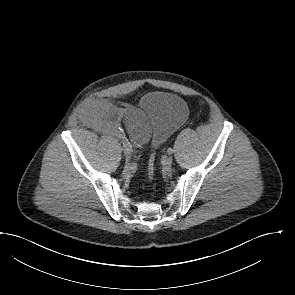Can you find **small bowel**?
<instances>
[{"label":"small bowel","instance_id":"1","mask_svg":"<svg viewBox=\"0 0 295 295\" xmlns=\"http://www.w3.org/2000/svg\"><path fill=\"white\" fill-rule=\"evenodd\" d=\"M120 116L124 120L132 143L140 147L150 137V123L140 109H119L106 101L94 102L83 113V120L99 131L110 133L113 131V119Z\"/></svg>","mask_w":295,"mask_h":295}]
</instances>
